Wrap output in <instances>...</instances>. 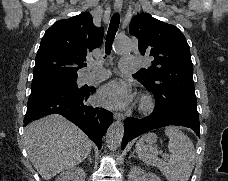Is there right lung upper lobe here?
Returning <instances> with one entry per match:
<instances>
[{"label": "right lung upper lobe", "mask_w": 228, "mask_h": 181, "mask_svg": "<svg viewBox=\"0 0 228 181\" xmlns=\"http://www.w3.org/2000/svg\"><path fill=\"white\" fill-rule=\"evenodd\" d=\"M103 34L88 12L57 21L41 40L33 80L77 76L87 53L100 47Z\"/></svg>", "instance_id": "1"}]
</instances>
